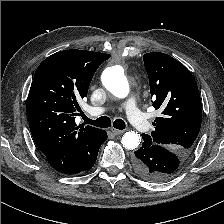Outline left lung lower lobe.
Instances as JSON below:
<instances>
[{"label": "left lung lower lobe", "instance_id": "1", "mask_svg": "<svg viewBox=\"0 0 224 224\" xmlns=\"http://www.w3.org/2000/svg\"><path fill=\"white\" fill-rule=\"evenodd\" d=\"M133 166L142 178L163 182V176L178 171L181 162L178 154L144 141L142 147L135 151Z\"/></svg>", "mask_w": 224, "mask_h": 224}]
</instances>
